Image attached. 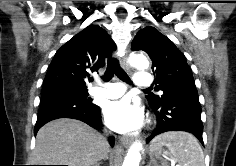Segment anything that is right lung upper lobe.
Returning a JSON list of instances; mask_svg holds the SVG:
<instances>
[{"mask_svg":"<svg viewBox=\"0 0 236 166\" xmlns=\"http://www.w3.org/2000/svg\"><path fill=\"white\" fill-rule=\"evenodd\" d=\"M116 44L107 32L97 25H89L65 43L54 55L44 85L65 84L87 88L88 71H98L111 56Z\"/></svg>","mask_w":236,"mask_h":166,"instance_id":"1","label":"right lung upper lobe"}]
</instances>
